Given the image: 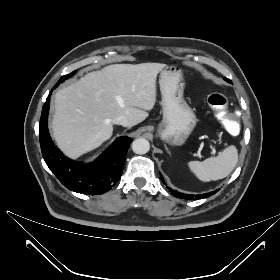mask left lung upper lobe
Segmentation results:
<instances>
[{
    "instance_id": "left-lung-upper-lobe-1",
    "label": "left lung upper lobe",
    "mask_w": 280,
    "mask_h": 280,
    "mask_svg": "<svg viewBox=\"0 0 280 280\" xmlns=\"http://www.w3.org/2000/svg\"><path fill=\"white\" fill-rule=\"evenodd\" d=\"M227 82H231L230 80H228L227 78H224Z\"/></svg>"
}]
</instances>
